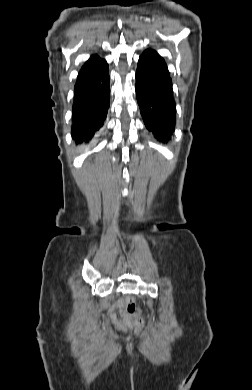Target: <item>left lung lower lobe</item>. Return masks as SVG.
<instances>
[{
  "label": "left lung lower lobe",
  "instance_id": "obj_1",
  "mask_svg": "<svg viewBox=\"0 0 252 390\" xmlns=\"http://www.w3.org/2000/svg\"><path fill=\"white\" fill-rule=\"evenodd\" d=\"M135 89L146 128L167 142L175 128L176 103L167 64L155 50L147 49L140 56Z\"/></svg>",
  "mask_w": 252,
  "mask_h": 390
}]
</instances>
